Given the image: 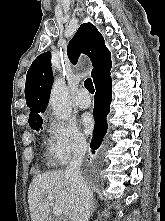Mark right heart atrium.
Instances as JSON below:
<instances>
[{
  "label": "right heart atrium",
  "instance_id": "1",
  "mask_svg": "<svg viewBox=\"0 0 165 221\" xmlns=\"http://www.w3.org/2000/svg\"><path fill=\"white\" fill-rule=\"evenodd\" d=\"M47 148L52 161L66 163L87 148V141L73 123L53 120L48 130Z\"/></svg>",
  "mask_w": 165,
  "mask_h": 221
}]
</instances>
